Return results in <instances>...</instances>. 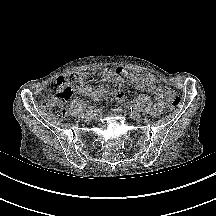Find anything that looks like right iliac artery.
Masks as SVG:
<instances>
[{"label":"right iliac artery","instance_id":"1","mask_svg":"<svg viewBox=\"0 0 216 216\" xmlns=\"http://www.w3.org/2000/svg\"><path fill=\"white\" fill-rule=\"evenodd\" d=\"M96 111H95V109H94V107L93 106H89L88 108H87V113H92V114H94Z\"/></svg>","mask_w":216,"mask_h":216}]
</instances>
